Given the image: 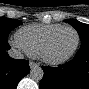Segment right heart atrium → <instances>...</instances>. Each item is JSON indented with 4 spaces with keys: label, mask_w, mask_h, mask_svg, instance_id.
Returning <instances> with one entry per match:
<instances>
[{
    "label": "right heart atrium",
    "mask_w": 89,
    "mask_h": 89,
    "mask_svg": "<svg viewBox=\"0 0 89 89\" xmlns=\"http://www.w3.org/2000/svg\"><path fill=\"white\" fill-rule=\"evenodd\" d=\"M10 43L13 47L19 49V50H24L23 46L21 45V43L19 42V40L17 39V37L11 38L10 39Z\"/></svg>",
    "instance_id": "1"
}]
</instances>
